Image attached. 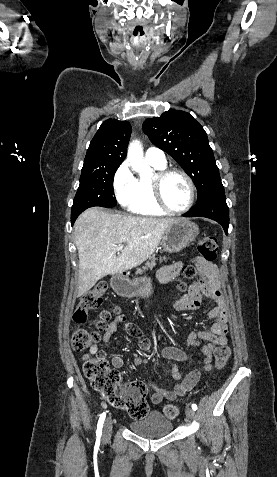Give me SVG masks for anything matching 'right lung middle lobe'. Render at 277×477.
Returning <instances> with one entry per match:
<instances>
[{
	"instance_id": "obj_1",
	"label": "right lung middle lobe",
	"mask_w": 277,
	"mask_h": 477,
	"mask_svg": "<svg viewBox=\"0 0 277 477\" xmlns=\"http://www.w3.org/2000/svg\"><path fill=\"white\" fill-rule=\"evenodd\" d=\"M118 167L82 172L80 185L71 210V223L85 209L92 206L114 207L116 198L113 191L114 174Z\"/></svg>"
}]
</instances>
